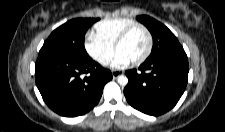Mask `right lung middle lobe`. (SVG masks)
<instances>
[{
	"mask_svg": "<svg viewBox=\"0 0 225 132\" xmlns=\"http://www.w3.org/2000/svg\"><path fill=\"white\" fill-rule=\"evenodd\" d=\"M96 21L98 18H77L66 22L51 33L40 52L87 57L84 37L87 29Z\"/></svg>",
	"mask_w": 225,
	"mask_h": 132,
	"instance_id": "dd1d6c3e",
	"label": "right lung middle lobe"
}]
</instances>
